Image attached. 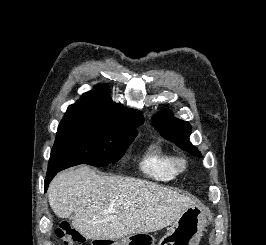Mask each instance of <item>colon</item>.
<instances>
[{"label": "colon", "instance_id": "colon-1", "mask_svg": "<svg viewBox=\"0 0 266 245\" xmlns=\"http://www.w3.org/2000/svg\"><path fill=\"white\" fill-rule=\"evenodd\" d=\"M57 235L64 241V245H83L84 237L75 229L69 226L68 221H63L58 229Z\"/></svg>", "mask_w": 266, "mask_h": 245}]
</instances>
